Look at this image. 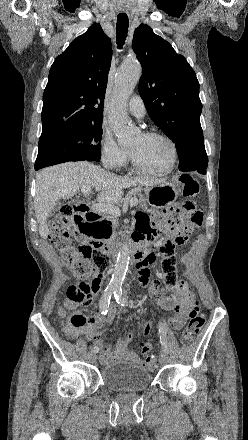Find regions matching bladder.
<instances>
[{"label":"bladder","instance_id":"obj_1","mask_svg":"<svg viewBox=\"0 0 248 440\" xmlns=\"http://www.w3.org/2000/svg\"><path fill=\"white\" fill-rule=\"evenodd\" d=\"M100 377L107 388L119 392L144 390L152 381L148 368L127 360L105 364Z\"/></svg>","mask_w":248,"mask_h":440}]
</instances>
